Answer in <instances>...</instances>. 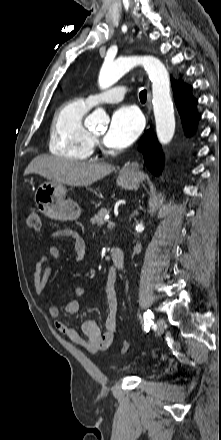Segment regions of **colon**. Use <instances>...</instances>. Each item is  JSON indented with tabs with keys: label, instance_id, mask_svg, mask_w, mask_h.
Wrapping results in <instances>:
<instances>
[{
	"label": "colon",
	"instance_id": "colon-1",
	"mask_svg": "<svg viewBox=\"0 0 221 440\" xmlns=\"http://www.w3.org/2000/svg\"><path fill=\"white\" fill-rule=\"evenodd\" d=\"M27 225L29 228L36 232L41 231V215L40 212L36 209H31L27 215ZM129 344L127 341H124L121 346V352L125 353L128 350Z\"/></svg>",
	"mask_w": 221,
	"mask_h": 440
}]
</instances>
